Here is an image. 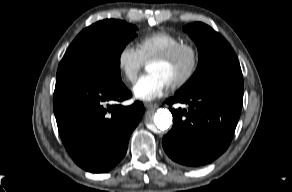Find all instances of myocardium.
<instances>
[{
    "label": "myocardium",
    "mask_w": 292,
    "mask_h": 192,
    "mask_svg": "<svg viewBox=\"0 0 292 192\" xmlns=\"http://www.w3.org/2000/svg\"><path fill=\"white\" fill-rule=\"evenodd\" d=\"M187 51L191 56V64L186 73L178 80L169 84L172 89H179L188 84L197 73L200 65V53L198 48L190 42H180L161 54H158L148 60L150 62H168L177 57L181 52Z\"/></svg>",
    "instance_id": "obj_1"
}]
</instances>
